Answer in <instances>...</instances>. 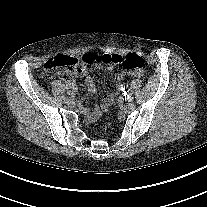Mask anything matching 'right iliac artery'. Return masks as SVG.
Returning <instances> with one entry per match:
<instances>
[{
  "label": "right iliac artery",
  "mask_w": 207,
  "mask_h": 207,
  "mask_svg": "<svg viewBox=\"0 0 207 207\" xmlns=\"http://www.w3.org/2000/svg\"><path fill=\"white\" fill-rule=\"evenodd\" d=\"M62 99H63V100H66V96H62Z\"/></svg>",
  "instance_id": "obj_1"
}]
</instances>
